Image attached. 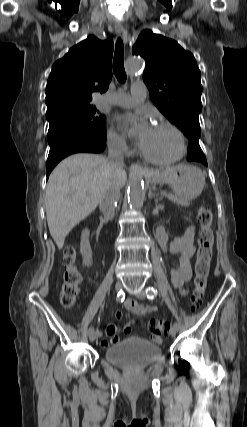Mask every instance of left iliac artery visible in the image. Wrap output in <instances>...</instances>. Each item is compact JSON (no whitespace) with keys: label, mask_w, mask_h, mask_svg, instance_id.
Here are the masks:
<instances>
[{"label":"left iliac artery","mask_w":247,"mask_h":427,"mask_svg":"<svg viewBox=\"0 0 247 427\" xmlns=\"http://www.w3.org/2000/svg\"><path fill=\"white\" fill-rule=\"evenodd\" d=\"M157 295V290L154 289L153 287H149L146 289V296L148 299H153L154 296ZM177 329H179V323L175 322L174 325Z\"/></svg>","instance_id":"left-iliac-artery-1"}]
</instances>
